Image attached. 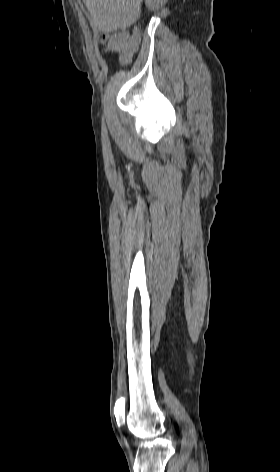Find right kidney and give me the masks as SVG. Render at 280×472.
<instances>
[{"label":"right kidney","mask_w":280,"mask_h":472,"mask_svg":"<svg viewBox=\"0 0 280 472\" xmlns=\"http://www.w3.org/2000/svg\"><path fill=\"white\" fill-rule=\"evenodd\" d=\"M148 2V7L150 8L151 7V1L150 0H146Z\"/></svg>","instance_id":"obj_1"}]
</instances>
